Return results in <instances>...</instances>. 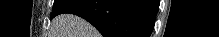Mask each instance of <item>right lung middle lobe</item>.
<instances>
[{
  "label": "right lung middle lobe",
  "instance_id": "1",
  "mask_svg": "<svg viewBox=\"0 0 219 37\" xmlns=\"http://www.w3.org/2000/svg\"><path fill=\"white\" fill-rule=\"evenodd\" d=\"M68 2H70V0H55L54 6L52 9L51 18L54 17L55 15H57L58 11Z\"/></svg>",
  "mask_w": 219,
  "mask_h": 37
}]
</instances>
